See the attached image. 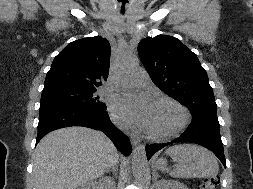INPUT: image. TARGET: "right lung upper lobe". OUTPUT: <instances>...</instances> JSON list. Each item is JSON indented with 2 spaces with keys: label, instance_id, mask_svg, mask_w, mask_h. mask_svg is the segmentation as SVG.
I'll return each mask as SVG.
<instances>
[{
  "label": "right lung upper lobe",
  "instance_id": "cb5924a9",
  "mask_svg": "<svg viewBox=\"0 0 253 189\" xmlns=\"http://www.w3.org/2000/svg\"><path fill=\"white\" fill-rule=\"evenodd\" d=\"M110 44L100 36L68 44L53 60L44 89L55 87H99L107 80Z\"/></svg>",
  "mask_w": 253,
  "mask_h": 189
}]
</instances>
